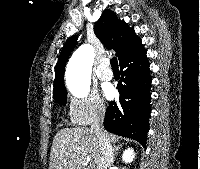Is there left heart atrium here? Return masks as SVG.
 <instances>
[{"instance_id": "1", "label": "left heart atrium", "mask_w": 200, "mask_h": 169, "mask_svg": "<svg viewBox=\"0 0 200 169\" xmlns=\"http://www.w3.org/2000/svg\"><path fill=\"white\" fill-rule=\"evenodd\" d=\"M104 94L106 98L112 99L115 96V89L112 86H107L104 89Z\"/></svg>"}]
</instances>
